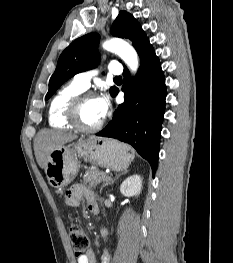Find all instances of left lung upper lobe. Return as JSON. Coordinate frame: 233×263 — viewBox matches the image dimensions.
<instances>
[{
    "instance_id": "left-lung-upper-lobe-1",
    "label": "left lung upper lobe",
    "mask_w": 233,
    "mask_h": 263,
    "mask_svg": "<svg viewBox=\"0 0 233 263\" xmlns=\"http://www.w3.org/2000/svg\"><path fill=\"white\" fill-rule=\"evenodd\" d=\"M112 35L127 38L133 42V46L139 54L144 46L149 42L146 34L133 16L121 11L115 19L112 28ZM99 35L90 33L73 41L60 55L55 72L49 81V90L45 100L49 99L55 91L69 78L77 73L95 68L100 55L97 50ZM117 90L110 88L112 95Z\"/></svg>"
}]
</instances>
